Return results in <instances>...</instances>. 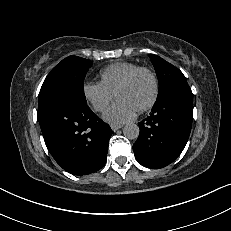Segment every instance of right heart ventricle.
Returning a JSON list of instances; mask_svg holds the SVG:
<instances>
[{
  "label": "right heart ventricle",
  "mask_w": 231,
  "mask_h": 231,
  "mask_svg": "<svg viewBox=\"0 0 231 231\" xmlns=\"http://www.w3.org/2000/svg\"><path fill=\"white\" fill-rule=\"evenodd\" d=\"M139 67L138 64L132 62H116L110 64L100 71L101 83L115 94L120 83Z\"/></svg>",
  "instance_id": "1"
}]
</instances>
